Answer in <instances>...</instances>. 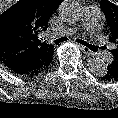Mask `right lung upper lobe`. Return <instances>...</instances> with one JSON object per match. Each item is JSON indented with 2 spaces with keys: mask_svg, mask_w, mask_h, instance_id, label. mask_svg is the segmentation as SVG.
<instances>
[{
  "mask_svg": "<svg viewBox=\"0 0 118 118\" xmlns=\"http://www.w3.org/2000/svg\"><path fill=\"white\" fill-rule=\"evenodd\" d=\"M64 0H20L0 15V61L52 62L54 48L42 39L48 21Z\"/></svg>",
  "mask_w": 118,
  "mask_h": 118,
  "instance_id": "obj_1",
  "label": "right lung upper lobe"
}]
</instances>
